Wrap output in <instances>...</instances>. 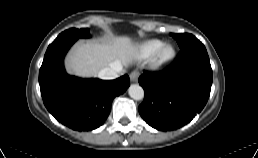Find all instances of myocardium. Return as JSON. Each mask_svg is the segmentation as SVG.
<instances>
[{"label":"myocardium","instance_id":"f54148a6","mask_svg":"<svg viewBox=\"0 0 258 158\" xmlns=\"http://www.w3.org/2000/svg\"><path fill=\"white\" fill-rule=\"evenodd\" d=\"M176 55L175 48L170 44H163L153 54L151 59V66L153 68H160L172 61Z\"/></svg>","mask_w":258,"mask_h":158}]
</instances>
